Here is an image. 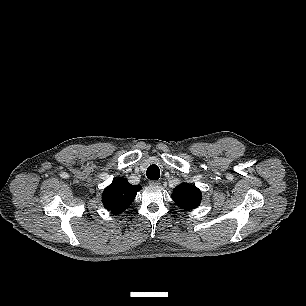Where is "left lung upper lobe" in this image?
<instances>
[{
  "label": "left lung upper lobe",
  "mask_w": 306,
  "mask_h": 306,
  "mask_svg": "<svg viewBox=\"0 0 306 306\" xmlns=\"http://www.w3.org/2000/svg\"><path fill=\"white\" fill-rule=\"evenodd\" d=\"M172 199L182 209H194L200 205L201 192L195 185L182 183L173 189Z\"/></svg>",
  "instance_id": "1"
}]
</instances>
